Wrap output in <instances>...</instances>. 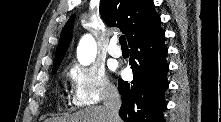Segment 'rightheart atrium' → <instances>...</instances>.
Returning <instances> with one entry per match:
<instances>
[{"instance_id":"1","label":"right heart atrium","mask_w":221,"mask_h":122,"mask_svg":"<svg viewBox=\"0 0 221 122\" xmlns=\"http://www.w3.org/2000/svg\"><path fill=\"white\" fill-rule=\"evenodd\" d=\"M70 77L73 83L72 102L77 107L98 104L116 94L104 69L96 64L74 65Z\"/></svg>"}]
</instances>
